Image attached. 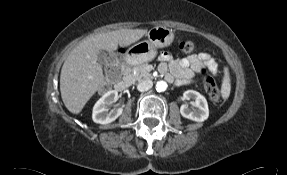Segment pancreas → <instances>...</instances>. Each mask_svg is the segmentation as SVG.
Returning <instances> with one entry per match:
<instances>
[{
  "instance_id": "obj_1",
  "label": "pancreas",
  "mask_w": 287,
  "mask_h": 175,
  "mask_svg": "<svg viewBox=\"0 0 287 175\" xmlns=\"http://www.w3.org/2000/svg\"><path fill=\"white\" fill-rule=\"evenodd\" d=\"M146 66L147 64H141V65H138V66H135L132 70V73L129 74V79L132 81V82H135V81H141V80H144V79H149L151 78V74L146 70Z\"/></svg>"
}]
</instances>
